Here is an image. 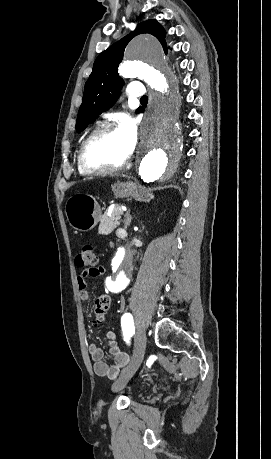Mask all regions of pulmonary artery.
Here are the masks:
<instances>
[{"label": "pulmonary artery", "instance_id": "obj_1", "mask_svg": "<svg viewBox=\"0 0 271 459\" xmlns=\"http://www.w3.org/2000/svg\"><path fill=\"white\" fill-rule=\"evenodd\" d=\"M127 87L130 89L129 96L131 98H145V89H143L141 81H130Z\"/></svg>", "mask_w": 271, "mask_h": 459}]
</instances>
